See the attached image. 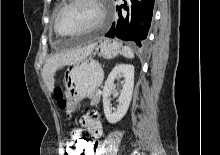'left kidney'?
<instances>
[{
    "label": "left kidney",
    "instance_id": "left-kidney-1",
    "mask_svg": "<svg viewBox=\"0 0 220 155\" xmlns=\"http://www.w3.org/2000/svg\"><path fill=\"white\" fill-rule=\"evenodd\" d=\"M118 77L124 78V84L120 91L119 104L116 109H112L108 97L114 88V81ZM133 87L134 66L131 64H117L110 72L103 89L104 114L109 123L115 124L125 116L131 102Z\"/></svg>",
    "mask_w": 220,
    "mask_h": 155
}]
</instances>
